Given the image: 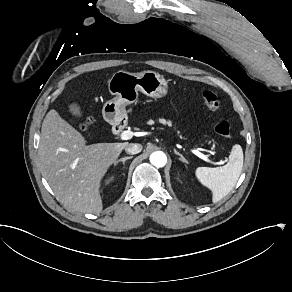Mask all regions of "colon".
<instances>
[{"label":"colon","mask_w":292,"mask_h":292,"mask_svg":"<svg viewBox=\"0 0 292 292\" xmlns=\"http://www.w3.org/2000/svg\"><path fill=\"white\" fill-rule=\"evenodd\" d=\"M201 97L204 102V105L214 114H219L221 111L220 100L218 95L211 90H202ZM81 126L88 128L95 123L93 117L88 115H83L80 119ZM216 132L223 138H229L231 136V125L226 120H220L216 124ZM85 137L88 140H92L95 137V134L92 131H88L85 134Z\"/></svg>","instance_id":"obj_1"}]
</instances>
